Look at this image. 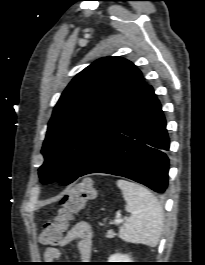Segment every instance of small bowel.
<instances>
[{
	"mask_svg": "<svg viewBox=\"0 0 205 265\" xmlns=\"http://www.w3.org/2000/svg\"><path fill=\"white\" fill-rule=\"evenodd\" d=\"M77 242V249L80 259L87 261L91 257L93 245V231L91 226L85 221L75 223L66 235L60 240L57 247H48L44 253V259L53 262L61 258V247L71 242Z\"/></svg>",
	"mask_w": 205,
	"mask_h": 265,
	"instance_id": "1",
	"label": "small bowel"
}]
</instances>
